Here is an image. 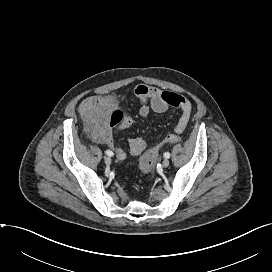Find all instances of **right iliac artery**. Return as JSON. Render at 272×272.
I'll use <instances>...</instances> for the list:
<instances>
[{
    "label": "right iliac artery",
    "mask_w": 272,
    "mask_h": 272,
    "mask_svg": "<svg viewBox=\"0 0 272 272\" xmlns=\"http://www.w3.org/2000/svg\"><path fill=\"white\" fill-rule=\"evenodd\" d=\"M105 154L108 155V156H113L114 155V153L111 150H106Z\"/></svg>",
    "instance_id": "82829eb1"
}]
</instances>
